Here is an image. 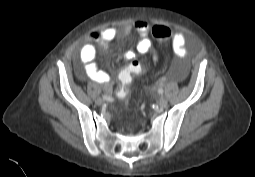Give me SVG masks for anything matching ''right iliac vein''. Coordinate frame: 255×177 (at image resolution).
Segmentation results:
<instances>
[{
  "mask_svg": "<svg viewBox=\"0 0 255 177\" xmlns=\"http://www.w3.org/2000/svg\"><path fill=\"white\" fill-rule=\"evenodd\" d=\"M95 102H96L97 105H102L103 104V99L99 97V98L96 99Z\"/></svg>",
  "mask_w": 255,
  "mask_h": 177,
  "instance_id": "obj_1",
  "label": "right iliac vein"
}]
</instances>
